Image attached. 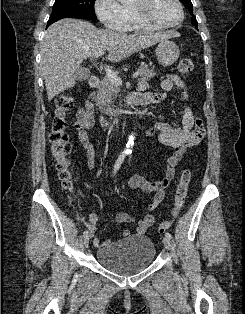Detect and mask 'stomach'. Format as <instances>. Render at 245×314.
Masks as SVG:
<instances>
[{"mask_svg": "<svg viewBox=\"0 0 245 314\" xmlns=\"http://www.w3.org/2000/svg\"><path fill=\"white\" fill-rule=\"evenodd\" d=\"M156 56L159 64L164 67L170 66L179 58V47L168 39L160 41L156 50Z\"/></svg>", "mask_w": 245, "mask_h": 314, "instance_id": "1", "label": "stomach"}]
</instances>
